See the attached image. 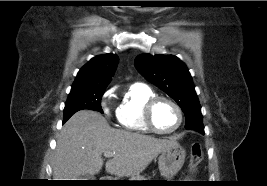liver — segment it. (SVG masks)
Here are the masks:
<instances>
[{"instance_id": "obj_1", "label": "liver", "mask_w": 267, "mask_h": 186, "mask_svg": "<svg viewBox=\"0 0 267 186\" xmlns=\"http://www.w3.org/2000/svg\"><path fill=\"white\" fill-rule=\"evenodd\" d=\"M177 144L173 139L111 128L98 112L81 110L63 126L52 163L54 180H77L82 175L100 172L102 154H115L106 162L113 175L134 176L163 150Z\"/></svg>"}]
</instances>
